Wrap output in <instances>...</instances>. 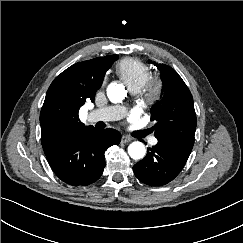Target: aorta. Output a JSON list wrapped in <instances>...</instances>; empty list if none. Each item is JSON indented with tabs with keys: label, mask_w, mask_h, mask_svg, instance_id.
<instances>
[{
	"label": "aorta",
	"mask_w": 243,
	"mask_h": 243,
	"mask_svg": "<svg viewBox=\"0 0 243 243\" xmlns=\"http://www.w3.org/2000/svg\"><path fill=\"white\" fill-rule=\"evenodd\" d=\"M126 90L122 84L111 83L107 88V96L109 100L113 103L122 102L126 97ZM146 149L143 143L141 142H132L128 146V154L131 158L138 160L142 159L145 156Z\"/></svg>",
	"instance_id": "1"
}]
</instances>
